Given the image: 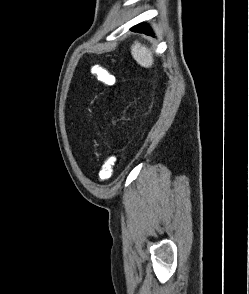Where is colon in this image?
Here are the masks:
<instances>
[{
    "label": "colon",
    "mask_w": 249,
    "mask_h": 294,
    "mask_svg": "<svg viewBox=\"0 0 249 294\" xmlns=\"http://www.w3.org/2000/svg\"><path fill=\"white\" fill-rule=\"evenodd\" d=\"M92 74L106 86H112L115 82L114 75H112L109 71L101 69V68H94L92 70ZM116 163V157L112 156L105 160L103 163L101 170L99 172V180L106 181L108 180L113 173V169Z\"/></svg>",
    "instance_id": "5ec220e1"
}]
</instances>
